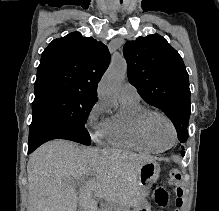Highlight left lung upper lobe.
Here are the masks:
<instances>
[{
  "label": "left lung upper lobe",
  "mask_w": 219,
  "mask_h": 211,
  "mask_svg": "<svg viewBox=\"0 0 219 211\" xmlns=\"http://www.w3.org/2000/svg\"><path fill=\"white\" fill-rule=\"evenodd\" d=\"M123 52L129 82L144 101L170 118L178 139L185 143L191 113L190 89L188 73L179 53L159 34L128 41Z\"/></svg>",
  "instance_id": "5c2ea615"
}]
</instances>
